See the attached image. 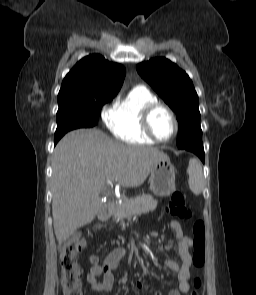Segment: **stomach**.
I'll use <instances>...</instances> for the list:
<instances>
[{"label": "stomach", "mask_w": 256, "mask_h": 295, "mask_svg": "<svg viewBox=\"0 0 256 295\" xmlns=\"http://www.w3.org/2000/svg\"><path fill=\"white\" fill-rule=\"evenodd\" d=\"M175 168L169 157L159 160L150 176V188L160 197L169 196L175 191Z\"/></svg>", "instance_id": "0dacf381"}]
</instances>
